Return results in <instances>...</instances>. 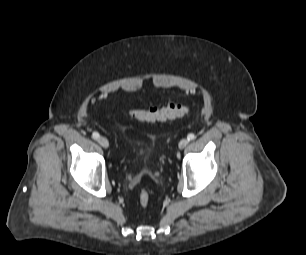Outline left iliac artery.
<instances>
[{"mask_svg":"<svg viewBox=\"0 0 306 255\" xmlns=\"http://www.w3.org/2000/svg\"><path fill=\"white\" fill-rule=\"evenodd\" d=\"M195 137L196 136L193 133H190V134H188L187 139L188 140H193V139H195Z\"/></svg>","mask_w":306,"mask_h":255,"instance_id":"left-iliac-artery-1","label":"left iliac artery"}]
</instances>
